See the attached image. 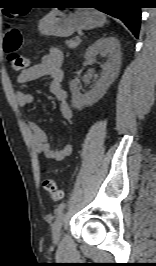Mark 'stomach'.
Listing matches in <instances>:
<instances>
[{"mask_svg": "<svg viewBox=\"0 0 156 266\" xmlns=\"http://www.w3.org/2000/svg\"><path fill=\"white\" fill-rule=\"evenodd\" d=\"M65 6L52 10L39 22V31L44 36L68 37L78 30L101 27L105 23L103 13L93 9H68Z\"/></svg>", "mask_w": 156, "mask_h": 266, "instance_id": "1", "label": "stomach"}]
</instances>
